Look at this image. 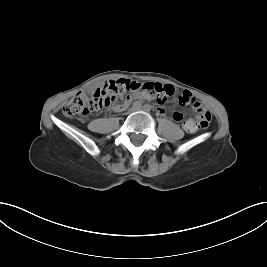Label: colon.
Here are the masks:
<instances>
[{
    "mask_svg": "<svg viewBox=\"0 0 267 267\" xmlns=\"http://www.w3.org/2000/svg\"><path fill=\"white\" fill-rule=\"evenodd\" d=\"M139 94L147 100L159 104L165 103L173 94L172 87L168 84L154 82L138 83L133 81L118 80L109 86L97 89L91 97L81 93L70 98L63 105V113L72 118L85 119L89 114L107 107L117 100H126ZM183 105H192L196 114L192 119L197 128H207L211 121V114L198 103L195 98L185 92L179 97ZM180 114H174L173 119L178 120Z\"/></svg>",
    "mask_w": 267,
    "mask_h": 267,
    "instance_id": "obj_1",
    "label": "colon"
}]
</instances>
